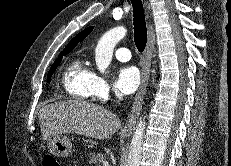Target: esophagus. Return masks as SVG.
<instances>
[{"mask_svg":"<svg viewBox=\"0 0 231 166\" xmlns=\"http://www.w3.org/2000/svg\"><path fill=\"white\" fill-rule=\"evenodd\" d=\"M155 32L153 29L152 24H149V31H148V41L146 45V49L143 55L142 60V76H141V85L140 88L135 96V101L133 103L131 113L128 117V120L122 129V133L127 134L131 133L142 110L143 100L146 93L149 74H150V67H151V58L152 53L155 46Z\"/></svg>","mask_w":231,"mask_h":166,"instance_id":"esophagus-1","label":"esophagus"}]
</instances>
